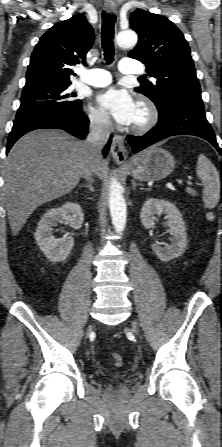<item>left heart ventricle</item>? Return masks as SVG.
Listing matches in <instances>:
<instances>
[{"label":"left heart ventricle","instance_id":"obj_1","mask_svg":"<svg viewBox=\"0 0 222 447\" xmlns=\"http://www.w3.org/2000/svg\"><path fill=\"white\" fill-rule=\"evenodd\" d=\"M140 117H141V113H140L139 110H137V115H136V118H135L134 122L138 121L140 119Z\"/></svg>","mask_w":222,"mask_h":447}]
</instances>
